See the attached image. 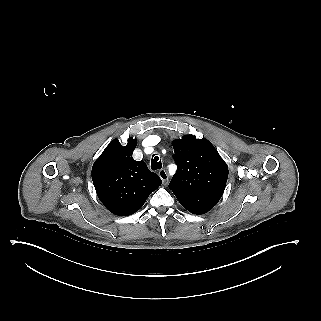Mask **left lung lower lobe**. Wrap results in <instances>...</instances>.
<instances>
[{"label":"left lung lower lobe","mask_w":321,"mask_h":321,"mask_svg":"<svg viewBox=\"0 0 321 321\" xmlns=\"http://www.w3.org/2000/svg\"><path fill=\"white\" fill-rule=\"evenodd\" d=\"M223 192H212L204 194H178L175 195L180 204L189 212L197 215L211 210L220 200Z\"/></svg>","instance_id":"left-lung-lower-lobe-1"}]
</instances>
